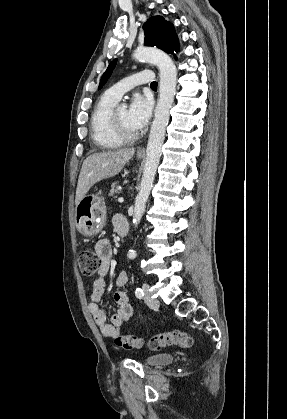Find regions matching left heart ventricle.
<instances>
[{
    "mask_svg": "<svg viewBox=\"0 0 287 419\" xmlns=\"http://www.w3.org/2000/svg\"><path fill=\"white\" fill-rule=\"evenodd\" d=\"M117 117L122 125V127L129 133H136V130H134L128 119V110L126 108H118L117 109Z\"/></svg>",
    "mask_w": 287,
    "mask_h": 419,
    "instance_id": "obj_1",
    "label": "left heart ventricle"
}]
</instances>
